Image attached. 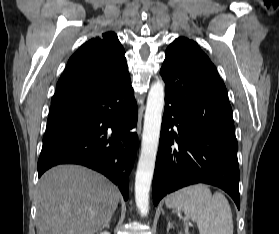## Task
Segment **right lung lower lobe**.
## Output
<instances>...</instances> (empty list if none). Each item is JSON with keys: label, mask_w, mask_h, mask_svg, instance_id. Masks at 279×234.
<instances>
[{"label": "right lung lower lobe", "mask_w": 279, "mask_h": 234, "mask_svg": "<svg viewBox=\"0 0 279 234\" xmlns=\"http://www.w3.org/2000/svg\"><path fill=\"white\" fill-rule=\"evenodd\" d=\"M138 111L129 73L80 96L51 103L39 177L58 164H80L101 172L128 198V175L137 149Z\"/></svg>", "instance_id": "98d812e1"}]
</instances>
